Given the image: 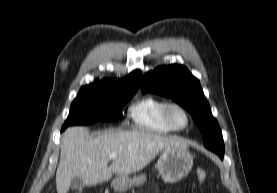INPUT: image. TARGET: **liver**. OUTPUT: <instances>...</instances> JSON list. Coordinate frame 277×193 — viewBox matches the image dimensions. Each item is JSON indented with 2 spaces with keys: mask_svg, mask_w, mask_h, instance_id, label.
<instances>
[{
  "mask_svg": "<svg viewBox=\"0 0 277 193\" xmlns=\"http://www.w3.org/2000/svg\"><path fill=\"white\" fill-rule=\"evenodd\" d=\"M60 147L56 189L57 193H68L75 177L93 186L111 179L113 174L126 176L141 170L164 149L188 148V144L177 137L140 130H107L93 138L85 127H70ZM111 153L117 158L108 166Z\"/></svg>",
  "mask_w": 277,
  "mask_h": 193,
  "instance_id": "6515ba94",
  "label": "liver"
}]
</instances>
